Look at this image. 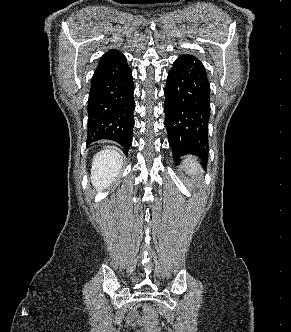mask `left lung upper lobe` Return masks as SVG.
Returning <instances> with one entry per match:
<instances>
[{
	"instance_id": "obj_1",
	"label": "left lung upper lobe",
	"mask_w": 291,
	"mask_h": 332,
	"mask_svg": "<svg viewBox=\"0 0 291 332\" xmlns=\"http://www.w3.org/2000/svg\"><path fill=\"white\" fill-rule=\"evenodd\" d=\"M182 150L185 151V152H188V151H190V147L187 146V145H183Z\"/></svg>"
}]
</instances>
